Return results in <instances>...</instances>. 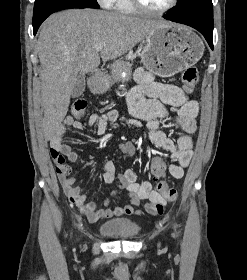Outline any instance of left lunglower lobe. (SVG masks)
<instances>
[{
	"mask_svg": "<svg viewBox=\"0 0 247 280\" xmlns=\"http://www.w3.org/2000/svg\"><path fill=\"white\" fill-rule=\"evenodd\" d=\"M164 18L198 30L205 37L211 49H213V15H175L169 12Z\"/></svg>",
	"mask_w": 247,
	"mask_h": 280,
	"instance_id": "obj_1",
	"label": "left lung lower lobe"
}]
</instances>
